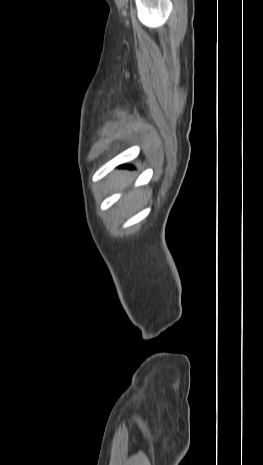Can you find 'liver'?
I'll return each mask as SVG.
<instances>
[{
	"instance_id": "6515ba94",
	"label": "liver",
	"mask_w": 263,
	"mask_h": 465,
	"mask_svg": "<svg viewBox=\"0 0 263 465\" xmlns=\"http://www.w3.org/2000/svg\"><path fill=\"white\" fill-rule=\"evenodd\" d=\"M115 182H116V184L118 185V187L120 189H123L124 187L129 185V183H131V179H127L124 176L123 172H116V174H115Z\"/></svg>"
}]
</instances>
